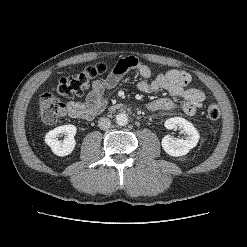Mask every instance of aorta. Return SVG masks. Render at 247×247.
<instances>
[{"label":"aorta","mask_w":247,"mask_h":247,"mask_svg":"<svg viewBox=\"0 0 247 247\" xmlns=\"http://www.w3.org/2000/svg\"><path fill=\"white\" fill-rule=\"evenodd\" d=\"M116 124L119 126H125L128 124V116L126 113H119L116 115Z\"/></svg>","instance_id":"762f6f07"}]
</instances>
